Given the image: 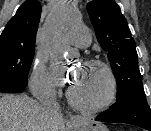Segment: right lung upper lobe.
<instances>
[{
  "mask_svg": "<svg viewBox=\"0 0 151 131\" xmlns=\"http://www.w3.org/2000/svg\"><path fill=\"white\" fill-rule=\"evenodd\" d=\"M41 4L38 0H27L7 23L0 36V44L17 42L35 47L36 33L41 16Z\"/></svg>",
  "mask_w": 151,
  "mask_h": 131,
  "instance_id": "obj_1",
  "label": "right lung upper lobe"
}]
</instances>
